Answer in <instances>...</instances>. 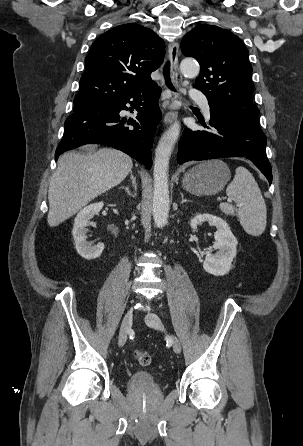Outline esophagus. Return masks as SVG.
Masks as SVG:
<instances>
[{
	"label": "esophagus",
	"mask_w": 303,
	"mask_h": 446,
	"mask_svg": "<svg viewBox=\"0 0 303 446\" xmlns=\"http://www.w3.org/2000/svg\"><path fill=\"white\" fill-rule=\"evenodd\" d=\"M178 54H179V44L177 41H173L169 44L168 55L171 62L172 80L176 88L181 87L183 80V77L179 71V66H178ZM168 95L171 98L173 109L168 110L164 116V123L166 125L172 123L177 118L178 116L177 107L179 105L178 100L176 99V96L173 93L168 92Z\"/></svg>",
	"instance_id": "obj_1"
}]
</instances>
